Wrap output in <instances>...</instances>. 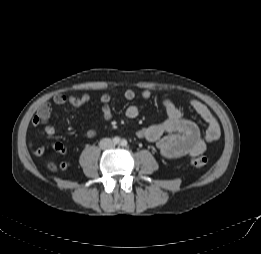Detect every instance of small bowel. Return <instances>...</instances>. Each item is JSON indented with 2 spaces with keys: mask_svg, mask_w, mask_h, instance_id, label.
I'll list each match as a JSON object with an SVG mask.
<instances>
[{
  "mask_svg": "<svg viewBox=\"0 0 261 254\" xmlns=\"http://www.w3.org/2000/svg\"><path fill=\"white\" fill-rule=\"evenodd\" d=\"M136 93L132 89H127L124 97L127 100H133ZM144 99L151 97V91L144 89L141 92ZM91 100L89 94L81 96H68L64 94L56 95L52 101L41 105L32 118L33 126H43L44 132L48 136L56 133V127L49 122L52 113V104L71 105L80 107ZM111 97L104 93L99 97L100 112L104 121L108 122L112 117L110 106ZM165 107L166 119L155 125H150L140 129L137 136L148 142L155 143L159 153L166 158H179L188 156H197L206 151L207 145L218 140L221 134L220 125L212 112L200 101L196 99L188 100V106L206 123V131L201 135L197 124L184 117L183 112L175 106L173 101L168 97L161 99ZM140 114V107L132 104L127 107V117L134 119ZM83 134L87 137H93L97 134L96 129H89ZM52 147L63 157H66L67 150L61 143H55ZM34 155L41 156L44 152L43 147H34L31 145ZM62 170H67V164H61Z\"/></svg>",
  "mask_w": 261,
  "mask_h": 254,
  "instance_id": "1",
  "label": "small bowel"
}]
</instances>
